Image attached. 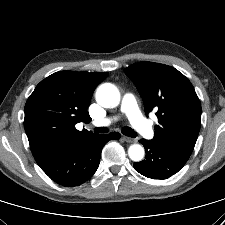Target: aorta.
I'll list each match as a JSON object with an SVG mask.
<instances>
[{
  "label": "aorta",
  "mask_w": 225,
  "mask_h": 225,
  "mask_svg": "<svg viewBox=\"0 0 225 225\" xmlns=\"http://www.w3.org/2000/svg\"><path fill=\"white\" fill-rule=\"evenodd\" d=\"M96 101L104 108H115L120 103V92L118 88L111 83L101 84L96 91ZM129 158L139 162L144 158V148L139 144H133L128 149Z\"/></svg>",
  "instance_id": "762f6f07"
}]
</instances>
